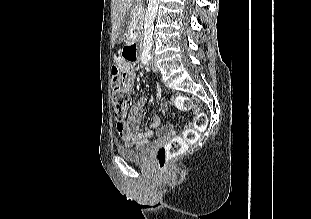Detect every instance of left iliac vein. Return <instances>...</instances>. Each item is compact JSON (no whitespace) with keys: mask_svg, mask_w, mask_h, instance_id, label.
Returning <instances> with one entry per match:
<instances>
[{"mask_svg":"<svg viewBox=\"0 0 311 219\" xmlns=\"http://www.w3.org/2000/svg\"><path fill=\"white\" fill-rule=\"evenodd\" d=\"M150 67H151V69H152L154 72H158V71H159V68H158V66H157V64H156L155 59H154L153 56L151 57Z\"/></svg>","mask_w":311,"mask_h":219,"instance_id":"1","label":"left iliac vein"}]
</instances>
